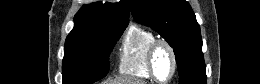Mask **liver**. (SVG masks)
Returning <instances> with one entry per match:
<instances>
[{"instance_id": "1", "label": "liver", "mask_w": 260, "mask_h": 84, "mask_svg": "<svg viewBox=\"0 0 260 84\" xmlns=\"http://www.w3.org/2000/svg\"><path fill=\"white\" fill-rule=\"evenodd\" d=\"M104 84H144V82L134 81V80H129V79H119V80H114L111 82H106Z\"/></svg>"}]
</instances>
